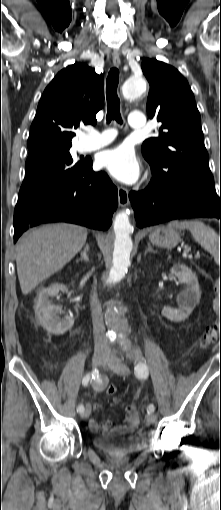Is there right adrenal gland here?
<instances>
[{
  "mask_svg": "<svg viewBox=\"0 0 221 510\" xmlns=\"http://www.w3.org/2000/svg\"><path fill=\"white\" fill-rule=\"evenodd\" d=\"M90 250V247H89V244L87 243L83 249V251L81 252V256L79 259L76 260V262H79V261H86L88 262L89 261V257H88V252Z\"/></svg>",
  "mask_w": 221,
  "mask_h": 510,
  "instance_id": "right-adrenal-gland-1",
  "label": "right adrenal gland"
}]
</instances>
